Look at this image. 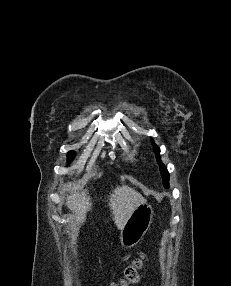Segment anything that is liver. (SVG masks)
Segmentation results:
<instances>
[{"label": "liver", "mask_w": 231, "mask_h": 286, "mask_svg": "<svg viewBox=\"0 0 231 286\" xmlns=\"http://www.w3.org/2000/svg\"><path fill=\"white\" fill-rule=\"evenodd\" d=\"M108 206L113 221L119 230H122L133 211L146 203V199L129 186H117L108 197ZM66 206L75 213L76 226L86 222V213L91 210L92 202L87 190L75 192L66 199Z\"/></svg>", "instance_id": "1"}]
</instances>
